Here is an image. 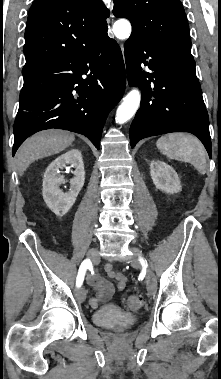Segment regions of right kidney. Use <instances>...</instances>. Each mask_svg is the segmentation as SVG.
<instances>
[{
	"instance_id": "ca27d5eb",
	"label": "right kidney",
	"mask_w": 221,
	"mask_h": 379,
	"mask_svg": "<svg viewBox=\"0 0 221 379\" xmlns=\"http://www.w3.org/2000/svg\"><path fill=\"white\" fill-rule=\"evenodd\" d=\"M71 165L75 170L74 177L70 180L68 192H63L59 187L66 180L60 174V169ZM85 182V170L82 154L78 149H71L58 156L47 167L43 178V199L52 212L58 216L65 215L75 203L79 192Z\"/></svg>"
}]
</instances>
